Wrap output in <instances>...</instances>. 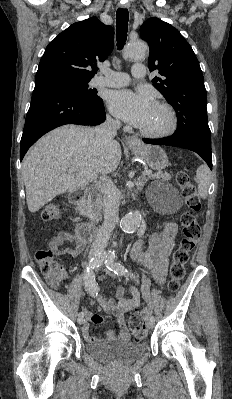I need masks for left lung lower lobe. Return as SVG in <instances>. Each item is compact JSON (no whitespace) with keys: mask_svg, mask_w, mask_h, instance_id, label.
Segmentation results:
<instances>
[{"mask_svg":"<svg viewBox=\"0 0 232 399\" xmlns=\"http://www.w3.org/2000/svg\"><path fill=\"white\" fill-rule=\"evenodd\" d=\"M143 141L148 144L176 146L194 151L199 154L212 169L211 145H206L198 140L180 137L174 134L166 138L143 139Z\"/></svg>","mask_w":232,"mask_h":399,"instance_id":"1","label":"left lung lower lobe"}]
</instances>
